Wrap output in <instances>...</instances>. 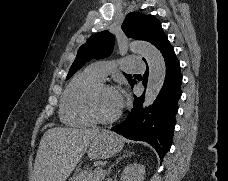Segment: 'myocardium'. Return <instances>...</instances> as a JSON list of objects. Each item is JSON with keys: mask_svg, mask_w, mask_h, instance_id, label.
<instances>
[{"mask_svg": "<svg viewBox=\"0 0 228 181\" xmlns=\"http://www.w3.org/2000/svg\"><path fill=\"white\" fill-rule=\"evenodd\" d=\"M104 89H114V85L106 81H100L93 89L91 98L88 104V109L92 118L98 123H110L115 121L119 116V113H114L113 115H110V116H104L99 112L98 96H99V93Z\"/></svg>", "mask_w": 228, "mask_h": 181, "instance_id": "f54148a6", "label": "myocardium"}]
</instances>
